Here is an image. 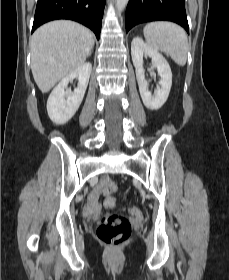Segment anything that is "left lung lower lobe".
<instances>
[{"label": "left lung lower lobe", "mask_w": 229, "mask_h": 280, "mask_svg": "<svg viewBox=\"0 0 229 280\" xmlns=\"http://www.w3.org/2000/svg\"><path fill=\"white\" fill-rule=\"evenodd\" d=\"M157 20L175 22L189 32L184 0H129L126 32L137 24Z\"/></svg>", "instance_id": "left-lung-lower-lobe-1"}]
</instances>
